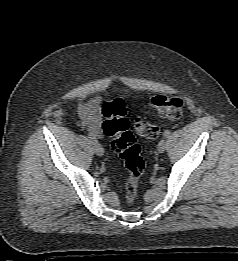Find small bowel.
<instances>
[{
	"label": "small bowel",
	"mask_w": 238,
	"mask_h": 261,
	"mask_svg": "<svg viewBox=\"0 0 238 261\" xmlns=\"http://www.w3.org/2000/svg\"><path fill=\"white\" fill-rule=\"evenodd\" d=\"M78 116L80 125L86 128L95 137L103 136L102 118L103 104L100 97H93L78 104Z\"/></svg>",
	"instance_id": "small-bowel-1"
}]
</instances>
